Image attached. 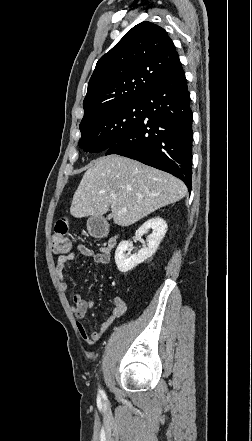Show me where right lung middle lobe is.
<instances>
[{
    "label": "right lung middle lobe",
    "instance_id": "dd1d6c3e",
    "mask_svg": "<svg viewBox=\"0 0 252 441\" xmlns=\"http://www.w3.org/2000/svg\"><path fill=\"white\" fill-rule=\"evenodd\" d=\"M143 103L135 100L95 114L80 123L79 146L85 152L106 151L123 139L142 117Z\"/></svg>",
    "mask_w": 252,
    "mask_h": 441
}]
</instances>
